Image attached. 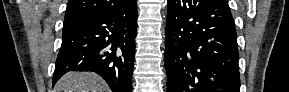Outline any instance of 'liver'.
Returning <instances> with one entry per match:
<instances>
[{
    "instance_id": "6515ba94",
    "label": "liver",
    "mask_w": 289,
    "mask_h": 92,
    "mask_svg": "<svg viewBox=\"0 0 289 92\" xmlns=\"http://www.w3.org/2000/svg\"><path fill=\"white\" fill-rule=\"evenodd\" d=\"M55 92H109L105 81L95 73L69 72L55 85Z\"/></svg>"
}]
</instances>
